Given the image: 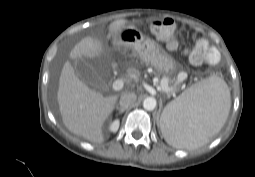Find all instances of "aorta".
I'll return each mask as SVG.
<instances>
[{"label":"aorta","instance_id":"aorta-1","mask_svg":"<svg viewBox=\"0 0 255 177\" xmlns=\"http://www.w3.org/2000/svg\"><path fill=\"white\" fill-rule=\"evenodd\" d=\"M156 104H157V102L154 97H147L143 101V107H144V109H146L148 111L154 110L156 107Z\"/></svg>","mask_w":255,"mask_h":177}]
</instances>
